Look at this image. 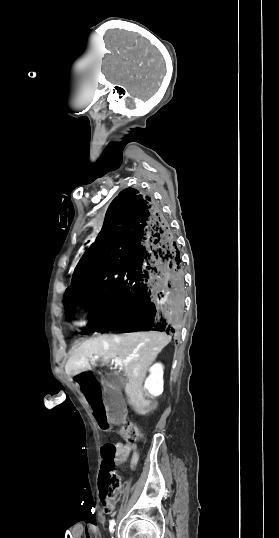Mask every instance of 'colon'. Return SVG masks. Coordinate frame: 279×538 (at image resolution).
I'll list each match as a JSON object with an SVG mask.
<instances>
[{"instance_id": "5ec220e1", "label": "colon", "mask_w": 279, "mask_h": 538, "mask_svg": "<svg viewBox=\"0 0 279 538\" xmlns=\"http://www.w3.org/2000/svg\"><path fill=\"white\" fill-rule=\"evenodd\" d=\"M120 434L127 444H134L140 438V432L135 423L126 420L121 428ZM102 468L99 477L100 497L103 508L106 512L112 510L118 493L121 489V478L114 471V461L117 457V452L113 444L107 443L101 447Z\"/></svg>"}]
</instances>
